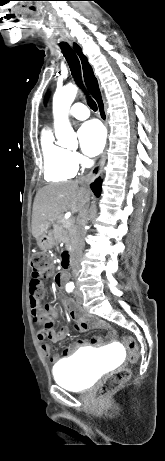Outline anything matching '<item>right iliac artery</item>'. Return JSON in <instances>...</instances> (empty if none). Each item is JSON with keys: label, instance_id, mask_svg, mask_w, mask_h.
Masks as SVG:
<instances>
[{"label": "right iliac artery", "instance_id": "82829eb1", "mask_svg": "<svg viewBox=\"0 0 165 461\" xmlns=\"http://www.w3.org/2000/svg\"><path fill=\"white\" fill-rule=\"evenodd\" d=\"M73 288H74L73 285H71V286H66V290H67L68 292H71V291L73 290Z\"/></svg>", "mask_w": 165, "mask_h": 461}]
</instances>
